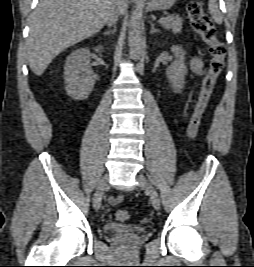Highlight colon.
<instances>
[{
    "instance_id": "1",
    "label": "colon",
    "mask_w": 254,
    "mask_h": 267,
    "mask_svg": "<svg viewBox=\"0 0 254 267\" xmlns=\"http://www.w3.org/2000/svg\"><path fill=\"white\" fill-rule=\"evenodd\" d=\"M186 10L191 29L207 45L210 57L209 70L202 80L201 91L187 129L188 136L195 139L218 76L224 67L226 48L217 38L213 21L200 2H190ZM116 217L119 221L126 222L130 219V213L126 210H121L117 212Z\"/></svg>"
}]
</instances>
